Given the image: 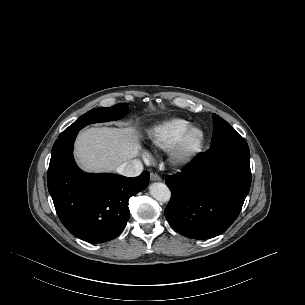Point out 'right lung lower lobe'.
I'll return each mask as SVG.
<instances>
[{"label":"right lung lower lobe","instance_id":"right-lung-lower-lobe-1","mask_svg":"<svg viewBox=\"0 0 305 305\" xmlns=\"http://www.w3.org/2000/svg\"><path fill=\"white\" fill-rule=\"evenodd\" d=\"M79 130L55 141L48 169V189L63 225L76 237L102 243L125 228L130 211L128 200L149 182V172L127 178L115 174L81 171L73 158Z\"/></svg>","mask_w":305,"mask_h":305}]
</instances>
